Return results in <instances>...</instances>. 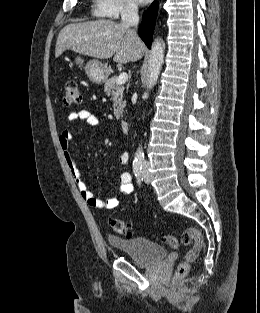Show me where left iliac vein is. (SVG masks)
<instances>
[{
  "label": "left iliac vein",
  "mask_w": 260,
  "mask_h": 313,
  "mask_svg": "<svg viewBox=\"0 0 260 313\" xmlns=\"http://www.w3.org/2000/svg\"><path fill=\"white\" fill-rule=\"evenodd\" d=\"M143 177H144V181H145L146 183H149V182H150L148 168H145V169H144V171H143Z\"/></svg>",
  "instance_id": "1"
}]
</instances>
